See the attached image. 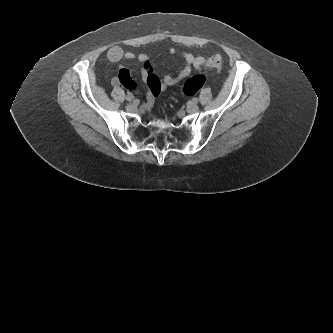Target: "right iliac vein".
Here are the masks:
<instances>
[{"label": "right iliac vein", "instance_id": "right-iliac-vein-1", "mask_svg": "<svg viewBox=\"0 0 333 333\" xmlns=\"http://www.w3.org/2000/svg\"><path fill=\"white\" fill-rule=\"evenodd\" d=\"M126 108L129 112H135L137 109L136 105L132 103L128 104Z\"/></svg>", "mask_w": 333, "mask_h": 333}]
</instances>
